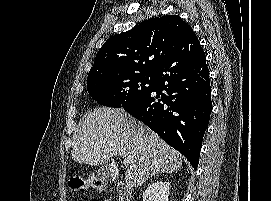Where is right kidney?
Instances as JSON below:
<instances>
[{
    "label": "right kidney",
    "instance_id": "right-kidney-1",
    "mask_svg": "<svg viewBox=\"0 0 271 201\" xmlns=\"http://www.w3.org/2000/svg\"><path fill=\"white\" fill-rule=\"evenodd\" d=\"M170 183L154 182L143 193V201H169Z\"/></svg>",
    "mask_w": 271,
    "mask_h": 201
}]
</instances>
